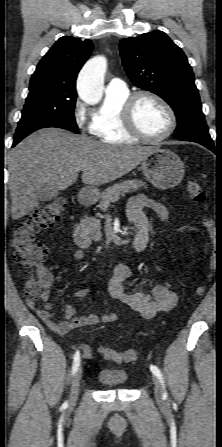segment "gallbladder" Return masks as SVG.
<instances>
[{
    "label": "gallbladder",
    "mask_w": 222,
    "mask_h": 447,
    "mask_svg": "<svg viewBox=\"0 0 222 447\" xmlns=\"http://www.w3.org/2000/svg\"><path fill=\"white\" fill-rule=\"evenodd\" d=\"M59 195V191L48 185L43 186L38 193V199L41 202H47L55 199Z\"/></svg>",
    "instance_id": "1"
}]
</instances>
